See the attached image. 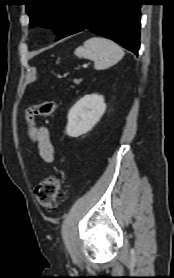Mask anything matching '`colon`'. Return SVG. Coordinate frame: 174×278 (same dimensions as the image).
Returning a JSON list of instances; mask_svg holds the SVG:
<instances>
[{
    "mask_svg": "<svg viewBox=\"0 0 174 278\" xmlns=\"http://www.w3.org/2000/svg\"><path fill=\"white\" fill-rule=\"evenodd\" d=\"M56 109L54 101L46 100L29 107L25 113L30 141L37 144L36 128L33 120L36 116H51ZM35 195L41 206L48 210L56 209L58 199L65 195L61 183L56 177H48L41 181L35 188Z\"/></svg>",
    "mask_w": 174,
    "mask_h": 278,
    "instance_id": "5ec220e1",
    "label": "colon"
}]
</instances>
